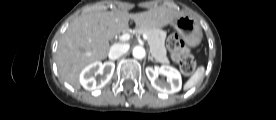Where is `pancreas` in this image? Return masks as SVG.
Instances as JSON below:
<instances>
[{
  "label": "pancreas",
  "mask_w": 276,
  "mask_h": 120,
  "mask_svg": "<svg viewBox=\"0 0 276 120\" xmlns=\"http://www.w3.org/2000/svg\"><path fill=\"white\" fill-rule=\"evenodd\" d=\"M135 33H143L148 37V44L150 51L157 62L169 64V60L166 56L165 38L166 33L160 29H136Z\"/></svg>",
  "instance_id": "1"
}]
</instances>
